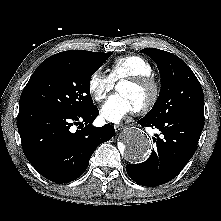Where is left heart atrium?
Returning <instances> with one entry per match:
<instances>
[{
  "label": "left heart atrium",
  "instance_id": "obj_1",
  "mask_svg": "<svg viewBox=\"0 0 221 221\" xmlns=\"http://www.w3.org/2000/svg\"><path fill=\"white\" fill-rule=\"evenodd\" d=\"M135 110L136 108L127 96L116 93L102 105L101 116L109 122L118 123Z\"/></svg>",
  "mask_w": 221,
  "mask_h": 221
}]
</instances>
